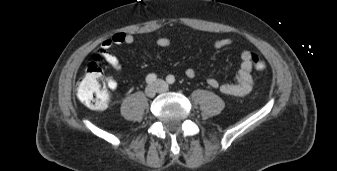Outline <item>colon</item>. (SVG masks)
Instances as JSON below:
<instances>
[{"label":"colon","mask_w":337,"mask_h":171,"mask_svg":"<svg viewBox=\"0 0 337 171\" xmlns=\"http://www.w3.org/2000/svg\"><path fill=\"white\" fill-rule=\"evenodd\" d=\"M251 60L255 70H265L266 63L258 55L252 54ZM77 97L85 106L94 110L105 108L110 101L108 86L96 58L86 66L85 74L77 87Z\"/></svg>","instance_id":"5ec220e1"}]
</instances>
